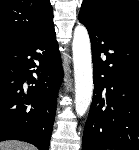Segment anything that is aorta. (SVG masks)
I'll list each match as a JSON object with an SVG mask.
<instances>
[{"mask_svg": "<svg viewBox=\"0 0 139 150\" xmlns=\"http://www.w3.org/2000/svg\"><path fill=\"white\" fill-rule=\"evenodd\" d=\"M73 62L75 77V109L78 116H83L89 108L93 95V68L91 44L88 31L84 25L74 30Z\"/></svg>", "mask_w": 139, "mask_h": 150, "instance_id": "aorta-1", "label": "aorta"}]
</instances>
